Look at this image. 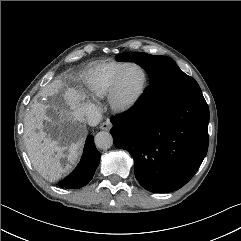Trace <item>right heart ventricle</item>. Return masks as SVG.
<instances>
[{
  "instance_id": "right-heart-ventricle-1",
  "label": "right heart ventricle",
  "mask_w": 241,
  "mask_h": 241,
  "mask_svg": "<svg viewBox=\"0 0 241 241\" xmlns=\"http://www.w3.org/2000/svg\"><path fill=\"white\" fill-rule=\"evenodd\" d=\"M125 63L102 61L86 66L80 73V79L92 97L102 98L109 92L115 74Z\"/></svg>"
}]
</instances>
